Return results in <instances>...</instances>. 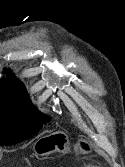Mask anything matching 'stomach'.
Returning <instances> with one entry per match:
<instances>
[{
    "label": "stomach",
    "instance_id": "stomach-1",
    "mask_svg": "<svg viewBox=\"0 0 125 167\" xmlns=\"http://www.w3.org/2000/svg\"><path fill=\"white\" fill-rule=\"evenodd\" d=\"M57 134H53L51 136H48L47 138H44L42 140H40L39 142H37L34 146V151L37 155H47L53 151H59L62 153H68L70 152V148H69V144L67 142V138L64 137L62 138V140L54 142V143H48L45 140L56 136ZM77 152H81L82 149L80 148V146H77Z\"/></svg>",
    "mask_w": 125,
    "mask_h": 167
}]
</instances>
